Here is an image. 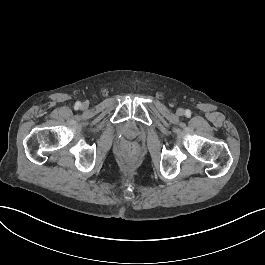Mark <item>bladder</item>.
Wrapping results in <instances>:
<instances>
[{"label": "bladder", "mask_w": 265, "mask_h": 265, "mask_svg": "<svg viewBox=\"0 0 265 265\" xmlns=\"http://www.w3.org/2000/svg\"><path fill=\"white\" fill-rule=\"evenodd\" d=\"M124 132L129 135L132 136L135 134V129L132 126H128L125 128Z\"/></svg>", "instance_id": "obj_1"}]
</instances>
